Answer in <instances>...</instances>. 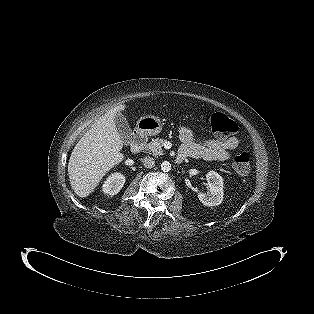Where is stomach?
Instances as JSON below:
<instances>
[{
    "instance_id": "obj_1",
    "label": "stomach",
    "mask_w": 314,
    "mask_h": 314,
    "mask_svg": "<svg viewBox=\"0 0 314 314\" xmlns=\"http://www.w3.org/2000/svg\"><path fill=\"white\" fill-rule=\"evenodd\" d=\"M163 122L157 116L141 117L136 124V131L143 136H154L161 133Z\"/></svg>"
}]
</instances>
